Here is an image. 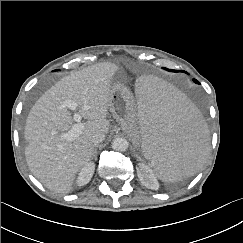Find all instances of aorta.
Segmentation results:
<instances>
[{
  "label": "aorta",
  "instance_id": "obj_1",
  "mask_svg": "<svg viewBox=\"0 0 243 243\" xmlns=\"http://www.w3.org/2000/svg\"><path fill=\"white\" fill-rule=\"evenodd\" d=\"M128 146V141L123 137H117L112 141V148L116 151L124 152Z\"/></svg>",
  "mask_w": 243,
  "mask_h": 243
}]
</instances>
